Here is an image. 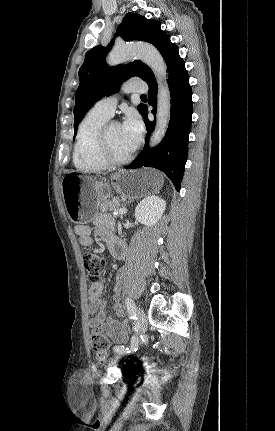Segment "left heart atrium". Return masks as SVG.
<instances>
[{
	"instance_id": "1",
	"label": "left heart atrium",
	"mask_w": 275,
	"mask_h": 431,
	"mask_svg": "<svg viewBox=\"0 0 275 431\" xmlns=\"http://www.w3.org/2000/svg\"><path fill=\"white\" fill-rule=\"evenodd\" d=\"M121 132L127 148L130 151L135 150L143 133V124L140 117L134 112L129 113L121 125Z\"/></svg>"
}]
</instances>
